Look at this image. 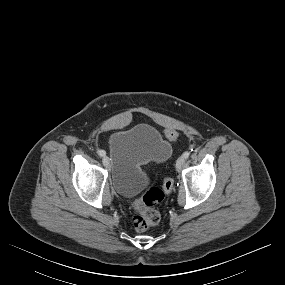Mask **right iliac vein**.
Here are the masks:
<instances>
[{"label":"right iliac vein","instance_id":"1","mask_svg":"<svg viewBox=\"0 0 285 285\" xmlns=\"http://www.w3.org/2000/svg\"><path fill=\"white\" fill-rule=\"evenodd\" d=\"M102 162H103V165H104L105 167H107V166L109 165V159H108V157H107L106 155L103 156Z\"/></svg>","mask_w":285,"mask_h":285}]
</instances>
